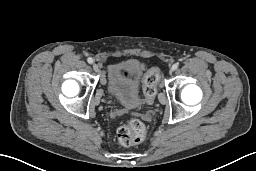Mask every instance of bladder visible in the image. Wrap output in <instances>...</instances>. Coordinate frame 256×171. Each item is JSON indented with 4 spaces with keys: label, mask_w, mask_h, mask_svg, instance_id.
I'll return each mask as SVG.
<instances>
[{
    "label": "bladder",
    "mask_w": 256,
    "mask_h": 171,
    "mask_svg": "<svg viewBox=\"0 0 256 171\" xmlns=\"http://www.w3.org/2000/svg\"><path fill=\"white\" fill-rule=\"evenodd\" d=\"M140 74L141 68L136 61L111 66L107 76L109 94L127 108L140 107Z\"/></svg>",
    "instance_id": "1"
}]
</instances>
